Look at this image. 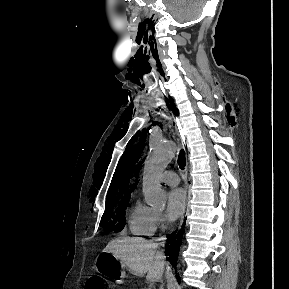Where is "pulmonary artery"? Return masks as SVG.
<instances>
[{"label": "pulmonary artery", "instance_id": "pulmonary-artery-1", "mask_svg": "<svg viewBox=\"0 0 289 289\" xmlns=\"http://www.w3.org/2000/svg\"><path fill=\"white\" fill-rule=\"evenodd\" d=\"M159 179L162 183L169 186H176L179 182L177 173L171 170L164 171L159 176Z\"/></svg>", "mask_w": 289, "mask_h": 289}]
</instances>
